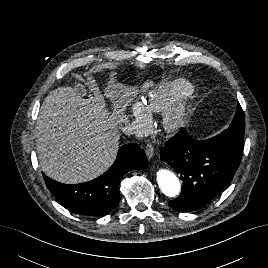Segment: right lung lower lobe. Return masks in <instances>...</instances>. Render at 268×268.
Instances as JSON below:
<instances>
[{
	"label": "right lung lower lobe",
	"instance_id": "98d812e1",
	"mask_svg": "<svg viewBox=\"0 0 268 268\" xmlns=\"http://www.w3.org/2000/svg\"><path fill=\"white\" fill-rule=\"evenodd\" d=\"M147 167L145 152L138 144L129 143L119 148L117 158L109 170L92 181L68 185L45 174L43 177L50 192L73 213L103 216L119 204V184L123 175L131 170Z\"/></svg>",
	"mask_w": 268,
	"mask_h": 268
}]
</instances>
